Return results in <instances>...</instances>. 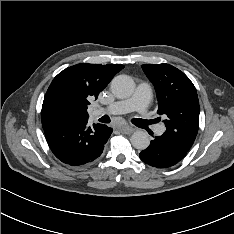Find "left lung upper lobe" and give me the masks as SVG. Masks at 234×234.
I'll list each match as a JSON object with an SVG mask.
<instances>
[{
	"instance_id": "obj_1",
	"label": "left lung upper lobe",
	"mask_w": 234,
	"mask_h": 234,
	"mask_svg": "<svg viewBox=\"0 0 234 234\" xmlns=\"http://www.w3.org/2000/svg\"><path fill=\"white\" fill-rule=\"evenodd\" d=\"M141 67L155 87L157 113L166 117L164 133L189 150L199 128L200 109L195 86L172 65L144 64Z\"/></svg>"
}]
</instances>
